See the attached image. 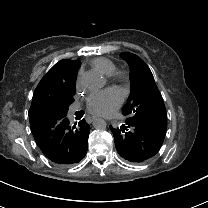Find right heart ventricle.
<instances>
[{"instance_id":"1","label":"right heart ventricle","mask_w":208,"mask_h":208,"mask_svg":"<svg viewBox=\"0 0 208 208\" xmlns=\"http://www.w3.org/2000/svg\"><path fill=\"white\" fill-rule=\"evenodd\" d=\"M91 66L100 71L107 78L114 76L117 72L116 65L106 58H97L91 62Z\"/></svg>"}]
</instances>
